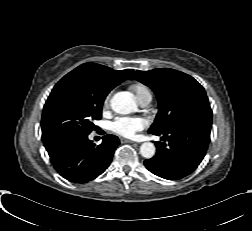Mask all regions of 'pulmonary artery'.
I'll list each match as a JSON object with an SVG mask.
<instances>
[{"mask_svg":"<svg viewBox=\"0 0 252 231\" xmlns=\"http://www.w3.org/2000/svg\"><path fill=\"white\" fill-rule=\"evenodd\" d=\"M138 101H139V103H140L141 106L145 107V106H147L150 103V101H151V95H146V96H144L143 98H141Z\"/></svg>","mask_w":252,"mask_h":231,"instance_id":"pulmonary-artery-1","label":"pulmonary artery"}]
</instances>
